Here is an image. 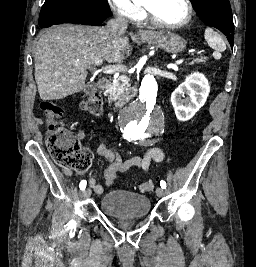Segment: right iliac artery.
Instances as JSON below:
<instances>
[{
	"mask_svg": "<svg viewBox=\"0 0 256 267\" xmlns=\"http://www.w3.org/2000/svg\"><path fill=\"white\" fill-rule=\"evenodd\" d=\"M87 182L86 180H82L79 184V187L81 190H84L86 188Z\"/></svg>",
	"mask_w": 256,
	"mask_h": 267,
	"instance_id": "obj_1",
	"label": "right iliac artery"
}]
</instances>
